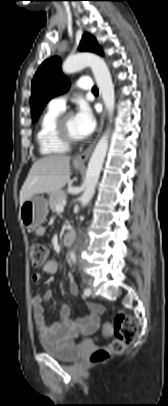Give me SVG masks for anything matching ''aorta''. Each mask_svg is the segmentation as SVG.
Returning a JSON list of instances; mask_svg holds the SVG:
<instances>
[{"label": "aorta", "mask_w": 168, "mask_h": 406, "mask_svg": "<svg viewBox=\"0 0 168 406\" xmlns=\"http://www.w3.org/2000/svg\"><path fill=\"white\" fill-rule=\"evenodd\" d=\"M89 66L92 69L94 78L99 88L100 95L105 104L109 118H112L115 105V92L112 77L105 61L98 55L92 53H79L69 56L62 65V70L66 74L75 73ZM109 129L105 131L98 141L88 163L86 177L84 180L85 190L80 197L81 205L86 206L95 193L102 165L108 148ZM70 259L76 262L74 252L70 253Z\"/></svg>", "instance_id": "aorta-1"}]
</instances>
